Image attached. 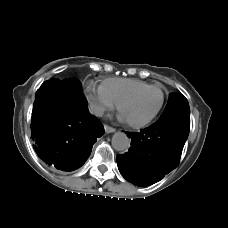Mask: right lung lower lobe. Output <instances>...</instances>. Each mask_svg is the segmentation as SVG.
<instances>
[{"label":"right lung lower lobe","mask_w":228,"mask_h":228,"mask_svg":"<svg viewBox=\"0 0 228 228\" xmlns=\"http://www.w3.org/2000/svg\"><path fill=\"white\" fill-rule=\"evenodd\" d=\"M35 97L31 117L34 150L46 164L57 169H78L97 138L104 134L103 125L88 112L82 91L70 99L62 84L48 80Z\"/></svg>","instance_id":"1"}]
</instances>
